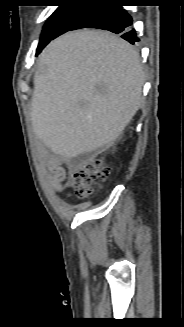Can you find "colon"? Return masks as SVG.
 Listing matches in <instances>:
<instances>
[{"instance_id":"5ec220e1","label":"colon","mask_w":184,"mask_h":327,"mask_svg":"<svg viewBox=\"0 0 184 327\" xmlns=\"http://www.w3.org/2000/svg\"><path fill=\"white\" fill-rule=\"evenodd\" d=\"M109 174L101 157H94L76 169L72 175V186L80 198L88 197L99 182L107 179Z\"/></svg>"}]
</instances>
